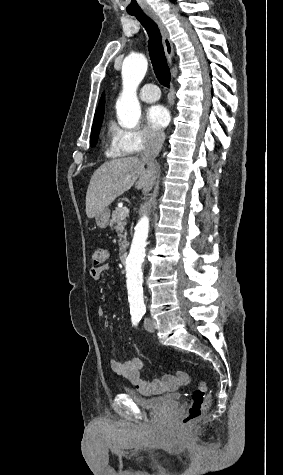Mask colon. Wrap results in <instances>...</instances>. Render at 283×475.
I'll return each mask as SVG.
<instances>
[{
	"mask_svg": "<svg viewBox=\"0 0 283 475\" xmlns=\"http://www.w3.org/2000/svg\"><path fill=\"white\" fill-rule=\"evenodd\" d=\"M91 256L94 265L102 266L107 260V251L104 248L94 246ZM207 393L208 384L205 381H201L192 393L187 412L182 419L183 424L202 418L208 407Z\"/></svg>",
	"mask_w": 283,
	"mask_h": 475,
	"instance_id": "5ec220e1",
	"label": "colon"
}]
</instances>
